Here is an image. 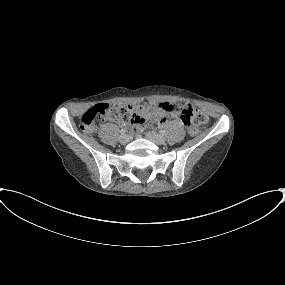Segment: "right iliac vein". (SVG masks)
I'll list each match as a JSON object with an SVG mask.
<instances>
[{"label": "right iliac vein", "mask_w": 285, "mask_h": 285, "mask_svg": "<svg viewBox=\"0 0 285 285\" xmlns=\"http://www.w3.org/2000/svg\"><path fill=\"white\" fill-rule=\"evenodd\" d=\"M129 140H130V138H129L128 135H123V136L120 137V143H121L122 145L127 144V143L129 142Z\"/></svg>", "instance_id": "63e3f726"}]
</instances>
